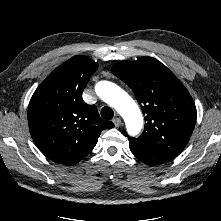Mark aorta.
<instances>
[{"label":"aorta","instance_id":"762f6f07","mask_svg":"<svg viewBox=\"0 0 221 221\" xmlns=\"http://www.w3.org/2000/svg\"><path fill=\"white\" fill-rule=\"evenodd\" d=\"M95 91L123 117L128 134L136 136L143 126V117L135 101L123 89L109 81L98 82Z\"/></svg>","mask_w":221,"mask_h":221}]
</instances>
